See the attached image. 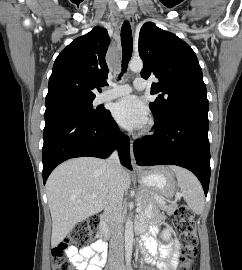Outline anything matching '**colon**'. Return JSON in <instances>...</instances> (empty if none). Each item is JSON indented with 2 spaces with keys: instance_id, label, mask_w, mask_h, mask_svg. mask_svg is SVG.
<instances>
[{
  "instance_id": "colon-1",
  "label": "colon",
  "mask_w": 242,
  "mask_h": 270,
  "mask_svg": "<svg viewBox=\"0 0 242 270\" xmlns=\"http://www.w3.org/2000/svg\"><path fill=\"white\" fill-rule=\"evenodd\" d=\"M181 227L180 270H193V261L197 257L198 238L195 229L194 213L188 206H180L175 212ZM97 220L82 221L70 231L66 239L53 250V270H75L67 251L71 245L83 244L96 236Z\"/></svg>"
}]
</instances>
